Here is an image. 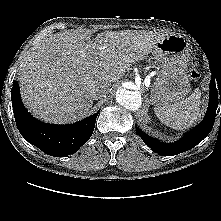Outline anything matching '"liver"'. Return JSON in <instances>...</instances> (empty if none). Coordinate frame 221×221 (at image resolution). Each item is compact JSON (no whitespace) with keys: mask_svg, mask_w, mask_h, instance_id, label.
Wrapping results in <instances>:
<instances>
[{"mask_svg":"<svg viewBox=\"0 0 221 221\" xmlns=\"http://www.w3.org/2000/svg\"><path fill=\"white\" fill-rule=\"evenodd\" d=\"M163 37L131 30L103 32L93 41L89 33L81 31L50 35L20 64L22 101L45 122L64 124L81 119L93 106L95 89L106 86L109 90Z\"/></svg>","mask_w":221,"mask_h":221,"instance_id":"1","label":"liver"}]
</instances>
